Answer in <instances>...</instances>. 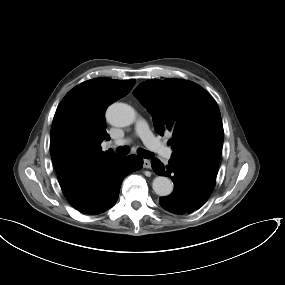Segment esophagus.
<instances>
[{
	"label": "esophagus",
	"mask_w": 285,
	"mask_h": 285,
	"mask_svg": "<svg viewBox=\"0 0 285 285\" xmlns=\"http://www.w3.org/2000/svg\"><path fill=\"white\" fill-rule=\"evenodd\" d=\"M143 167L146 169H149L151 167V162L149 159H144L143 160Z\"/></svg>",
	"instance_id": "1"
}]
</instances>
